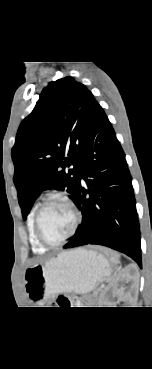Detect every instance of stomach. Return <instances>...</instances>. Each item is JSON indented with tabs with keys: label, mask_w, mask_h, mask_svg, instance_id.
Segmentation results:
<instances>
[{
	"label": "stomach",
	"mask_w": 152,
	"mask_h": 369,
	"mask_svg": "<svg viewBox=\"0 0 152 369\" xmlns=\"http://www.w3.org/2000/svg\"><path fill=\"white\" fill-rule=\"evenodd\" d=\"M111 273L103 255L80 248L26 268L24 286L31 302H45L58 293H88Z\"/></svg>",
	"instance_id": "1"
}]
</instances>
